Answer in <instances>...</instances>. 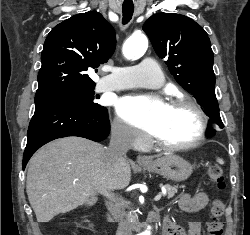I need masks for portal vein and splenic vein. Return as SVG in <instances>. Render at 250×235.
Returning <instances> with one entry per match:
<instances>
[{
	"label": "portal vein and splenic vein",
	"mask_w": 250,
	"mask_h": 235,
	"mask_svg": "<svg viewBox=\"0 0 250 235\" xmlns=\"http://www.w3.org/2000/svg\"><path fill=\"white\" fill-rule=\"evenodd\" d=\"M101 194H103V195H105V196H109V192H107V191H103V192H101ZM161 196H162L161 193L157 194V195L155 196V198H154V201H155V202L159 201L160 198H161Z\"/></svg>",
	"instance_id": "obj_1"
}]
</instances>
